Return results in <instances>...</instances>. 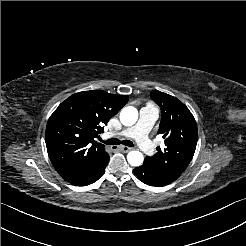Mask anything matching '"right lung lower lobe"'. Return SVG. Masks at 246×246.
I'll return each instance as SVG.
<instances>
[{
  "instance_id": "98d812e1",
  "label": "right lung lower lobe",
  "mask_w": 246,
  "mask_h": 246,
  "mask_svg": "<svg viewBox=\"0 0 246 246\" xmlns=\"http://www.w3.org/2000/svg\"><path fill=\"white\" fill-rule=\"evenodd\" d=\"M108 161L109 155L106 152L96 163L90 165L64 166L56 168V170L69 183L76 186H84L94 183L103 175Z\"/></svg>"
}]
</instances>
